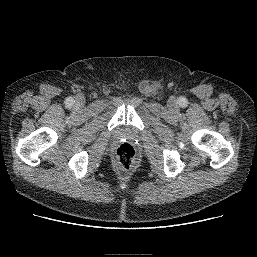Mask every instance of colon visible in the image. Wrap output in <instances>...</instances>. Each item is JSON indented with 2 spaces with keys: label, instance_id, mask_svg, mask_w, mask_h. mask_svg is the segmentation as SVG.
Listing matches in <instances>:
<instances>
[{
  "label": "colon",
  "instance_id": "5ec220e1",
  "mask_svg": "<svg viewBox=\"0 0 257 257\" xmlns=\"http://www.w3.org/2000/svg\"><path fill=\"white\" fill-rule=\"evenodd\" d=\"M136 152L129 143L121 144L116 152L117 165L122 170H128L135 161Z\"/></svg>",
  "mask_w": 257,
  "mask_h": 257
}]
</instances>
